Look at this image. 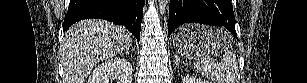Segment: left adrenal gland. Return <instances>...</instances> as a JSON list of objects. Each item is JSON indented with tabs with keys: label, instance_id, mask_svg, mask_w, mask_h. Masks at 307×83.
Segmentation results:
<instances>
[{
	"label": "left adrenal gland",
	"instance_id": "left-adrenal-gland-1",
	"mask_svg": "<svg viewBox=\"0 0 307 83\" xmlns=\"http://www.w3.org/2000/svg\"><path fill=\"white\" fill-rule=\"evenodd\" d=\"M175 58H176V62H175V64H176V66H179V64H180V58L176 55L175 56ZM184 63V62H183ZM185 64V63H184Z\"/></svg>",
	"mask_w": 307,
	"mask_h": 83
}]
</instances>
